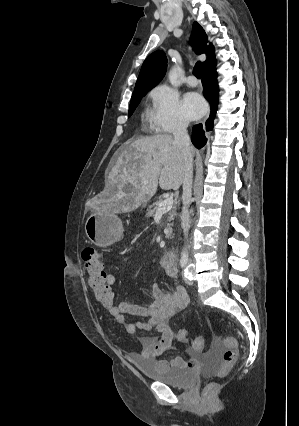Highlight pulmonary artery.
<instances>
[{"label":"pulmonary artery","instance_id":"pulmonary-artery-1","mask_svg":"<svg viewBox=\"0 0 299 426\" xmlns=\"http://www.w3.org/2000/svg\"><path fill=\"white\" fill-rule=\"evenodd\" d=\"M186 83L190 87H195V86H197L198 81L193 75H190L186 78Z\"/></svg>","mask_w":299,"mask_h":426}]
</instances>
